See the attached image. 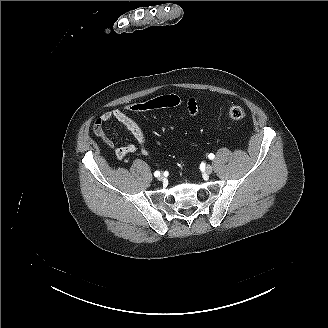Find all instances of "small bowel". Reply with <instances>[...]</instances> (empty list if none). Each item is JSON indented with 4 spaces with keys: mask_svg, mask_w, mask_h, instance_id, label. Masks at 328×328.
<instances>
[{
    "mask_svg": "<svg viewBox=\"0 0 328 328\" xmlns=\"http://www.w3.org/2000/svg\"><path fill=\"white\" fill-rule=\"evenodd\" d=\"M187 112L190 117H196L201 113L197 101L194 98H190L187 102ZM112 119L119 121L123 124L127 130L136 138L140 145V151L143 154L148 153V147L146 142V136L139 124L126 115L125 112L119 109H114L103 113L98 119L100 123L108 122ZM137 151V147L134 144H126L122 147L115 149V155L118 160H123L130 153Z\"/></svg>",
    "mask_w": 328,
    "mask_h": 328,
    "instance_id": "obj_1",
    "label": "small bowel"
}]
</instances>
